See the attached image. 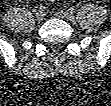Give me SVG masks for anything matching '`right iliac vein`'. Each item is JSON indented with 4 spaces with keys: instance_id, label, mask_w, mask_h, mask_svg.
Masks as SVG:
<instances>
[{
    "instance_id": "63e3f726",
    "label": "right iliac vein",
    "mask_w": 111,
    "mask_h": 106,
    "mask_svg": "<svg viewBox=\"0 0 111 106\" xmlns=\"http://www.w3.org/2000/svg\"><path fill=\"white\" fill-rule=\"evenodd\" d=\"M43 19H44V14H43V12L38 11V12L35 14V20H36L37 22H41Z\"/></svg>"
}]
</instances>
